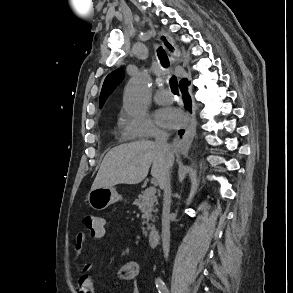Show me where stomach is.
<instances>
[{"label":"stomach","instance_id":"1","mask_svg":"<svg viewBox=\"0 0 293 293\" xmlns=\"http://www.w3.org/2000/svg\"><path fill=\"white\" fill-rule=\"evenodd\" d=\"M121 199V195H119L114 188L100 187L91 190L88 194L90 206L99 211L104 210Z\"/></svg>","mask_w":293,"mask_h":293}]
</instances>
